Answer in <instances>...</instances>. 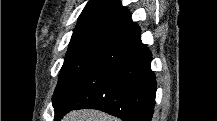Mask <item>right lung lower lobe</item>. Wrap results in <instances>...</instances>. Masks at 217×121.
Instances as JSON below:
<instances>
[{
  "mask_svg": "<svg viewBox=\"0 0 217 121\" xmlns=\"http://www.w3.org/2000/svg\"><path fill=\"white\" fill-rule=\"evenodd\" d=\"M140 32L137 24H127L91 66L53 98L55 120L70 110L90 108L124 121H151L156 79Z\"/></svg>",
  "mask_w": 217,
  "mask_h": 121,
  "instance_id": "right-lung-lower-lobe-1",
  "label": "right lung lower lobe"
}]
</instances>
